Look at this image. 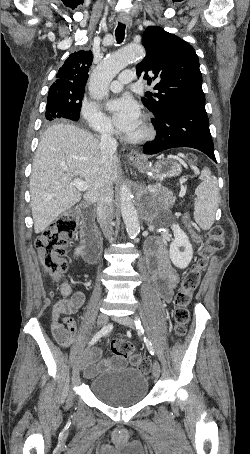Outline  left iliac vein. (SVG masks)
<instances>
[{"mask_svg": "<svg viewBox=\"0 0 250 454\" xmlns=\"http://www.w3.org/2000/svg\"><path fill=\"white\" fill-rule=\"evenodd\" d=\"M115 321L119 322L122 325H125L131 329L135 328L134 320L130 316H124V317H114L113 318ZM160 364L157 360H154L153 367H152V373L155 379H158L160 376Z\"/></svg>", "mask_w": 250, "mask_h": 454, "instance_id": "4c4485c4", "label": "left iliac vein"}]
</instances>
